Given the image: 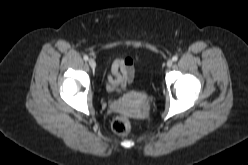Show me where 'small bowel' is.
<instances>
[{
  "instance_id": "1",
  "label": "small bowel",
  "mask_w": 248,
  "mask_h": 165,
  "mask_svg": "<svg viewBox=\"0 0 248 165\" xmlns=\"http://www.w3.org/2000/svg\"><path fill=\"white\" fill-rule=\"evenodd\" d=\"M135 68L132 57L117 58L111 66V75L107 79V88L118 91L126 88L134 79Z\"/></svg>"
}]
</instances>
